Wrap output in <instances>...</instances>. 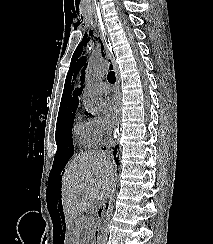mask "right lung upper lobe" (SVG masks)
<instances>
[{"label":"right lung upper lobe","mask_w":213,"mask_h":244,"mask_svg":"<svg viewBox=\"0 0 213 244\" xmlns=\"http://www.w3.org/2000/svg\"><path fill=\"white\" fill-rule=\"evenodd\" d=\"M79 95H80V89H77L74 90L73 97H71L67 102L61 101L59 115L64 114L71 110H76L79 103V99H78Z\"/></svg>","instance_id":"cb5924a9"}]
</instances>
